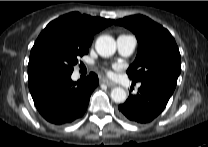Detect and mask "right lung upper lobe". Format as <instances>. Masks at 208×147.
I'll return each mask as SVG.
<instances>
[{
    "instance_id": "right-lung-upper-lobe-1",
    "label": "right lung upper lobe",
    "mask_w": 208,
    "mask_h": 147,
    "mask_svg": "<svg viewBox=\"0 0 208 147\" xmlns=\"http://www.w3.org/2000/svg\"><path fill=\"white\" fill-rule=\"evenodd\" d=\"M113 23L114 20L111 19L81 15L78 12L68 13L53 20L41 32L31 49L28 78L37 74L34 68L35 56L45 44L56 40H67L89 48L93 35Z\"/></svg>"
}]
</instances>
